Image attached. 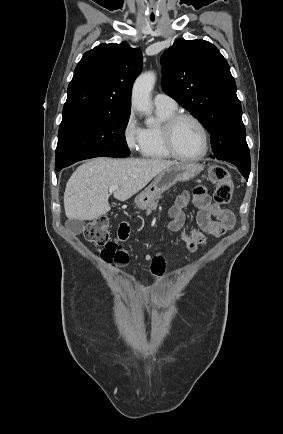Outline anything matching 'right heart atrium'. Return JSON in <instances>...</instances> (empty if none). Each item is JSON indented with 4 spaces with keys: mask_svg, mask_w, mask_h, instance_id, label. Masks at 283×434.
<instances>
[{
    "mask_svg": "<svg viewBox=\"0 0 283 434\" xmlns=\"http://www.w3.org/2000/svg\"><path fill=\"white\" fill-rule=\"evenodd\" d=\"M122 136L126 147L130 151H141L144 140V129L140 126L133 110L129 112L125 120Z\"/></svg>",
    "mask_w": 283,
    "mask_h": 434,
    "instance_id": "d8ad5b80",
    "label": "right heart atrium"
}]
</instances>
